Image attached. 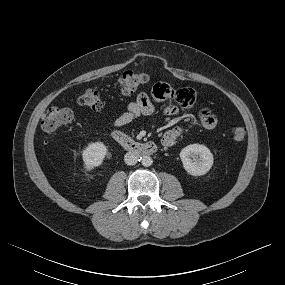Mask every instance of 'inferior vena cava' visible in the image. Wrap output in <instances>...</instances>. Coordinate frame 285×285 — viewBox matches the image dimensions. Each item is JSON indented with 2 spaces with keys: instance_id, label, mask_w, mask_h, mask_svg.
Returning <instances> with one entry per match:
<instances>
[{
  "instance_id": "obj_1",
  "label": "inferior vena cava",
  "mask_w": 285,
  "mask_h": 285,
  "mask_svg": "<svg viewBox=\"0 0 285 285\" xmlns=\"http://www.w3.org/2000/svg\"><path fill=\"white\" fill-rule=\"evenodd\" d=\"M124 161L127 165H135L138 161V156L133 152H127L124 156Z\"/></svg>"
}]
</instances>
